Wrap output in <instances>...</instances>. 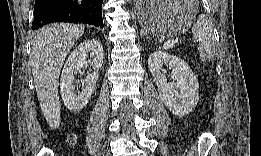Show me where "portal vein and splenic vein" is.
I'll return each mask as SVG.
<instances>
[{
  "instance_id": "18ae733b",
  "label": "portal vein and splenic vein",
  "mask_w": 261,
  "mask_h": 156,
  "mask_svg": "<svg viewBox=\"0 0 261 156\" xmlns=\"http://www.w3.org/2000/svg\"><path fill=\"white\" fill-rule=\"evenodd\" d=\"M175 43H179V40L178 39L168 40L166 45L164 46V48H168V47L172 46Z\"/></svg>"
}]
</instances>
